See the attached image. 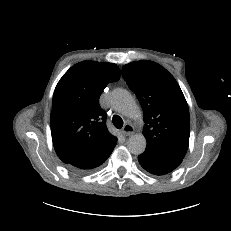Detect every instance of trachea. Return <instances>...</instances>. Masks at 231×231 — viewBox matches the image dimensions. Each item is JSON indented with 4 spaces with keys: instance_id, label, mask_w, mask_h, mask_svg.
Returning a JSON list of instances; mask_svg holds the SVG:
<instances>
[{
    "instance_id": "1",
    "label": "trachea",
    "mask_w": 231,
    "mask_h": 231,
    "mask_svg": "<svg viewBox=\"0 0 231 231\" xmlns=\"http://www.w3.org/2000/svg\"><path fill=\"white\" fill-rule=\"evenodd\" d=\"M113 124L115 125L116 128L121 129L123 126V120L120 116L114 115L113 116Z\"/></svg>"
}]
</instances>
